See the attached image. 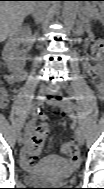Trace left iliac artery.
Segmentation results:
<instances>
[{
	"label": "left iliac artery",
	"mask_w": 104,
	"mask_h": 189,
	"mask_svg": "<svg viewBox=\"0 0 104 189\" xmlns=\"http://www.w3.org/2000/svg\"><path fill=\"white\" fill-rule=\"evenodd\" d=\"M62 100L71 108L75 109V105L67 97H63Z\"/></svg>",
	"instance_id": "obj_1"
}]
</instances>
